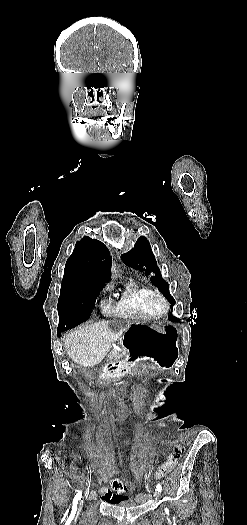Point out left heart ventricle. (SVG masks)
Instances as JSON below:
<instances>
[{"instance_id": "obj_1", "label": "left heart ventricle", "mask_w": 247, "mask_h": 525, "mask_svg": "<svg viewBox=\"0 0 247 525\" xmlns=\"http://www.w3.org/2000/svg\"><path fill=\"white\" fill-rule=\"evenodd\" d=\"M153 305L155 308H160L161 307V303L158 299H154L153 301Z\"/></svg>"}]
</instances>
